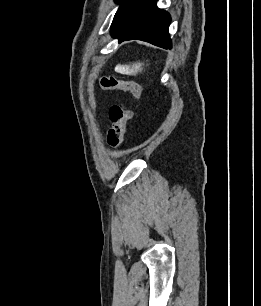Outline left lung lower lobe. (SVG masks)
I'll return each instance as SVG.
<instances>
[{
    "label": "left lung lower lobe",
    "instance_id": "1",
    "mask_svg": "<svg viewBox=\"0 0 261 306\" xmlns=\"http://www.w3.org/2000/svg\"><path fill=\"white\" fill-rule=\"evenodd\" d=\"M170 22L169 13L157 8L156 0H132L122 12L111 35L119 42L138 39L171 49L168 33Z\"/></svg>",
    "mask_w": 261,
    "mask_h": 306
}]
</instances>
